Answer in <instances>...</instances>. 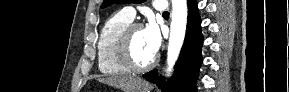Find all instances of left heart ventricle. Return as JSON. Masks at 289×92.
<instances>
[{"instance_id":"obj_1","label":"left heart ventricle","mask_w":289,"mask_h":92,"mask_svg":"<svg viewBox=\"0 0 289 92\" xmlns=\"http://www.w3.org/2000/svg\"><path fill=\"white\" fill-rule=\"evenodd\" d=\"M131 53L133 59L139 65L149 63L155 56L147 45L143 28L137 30L132 37Z\"/></svg>"}]
</instances>
